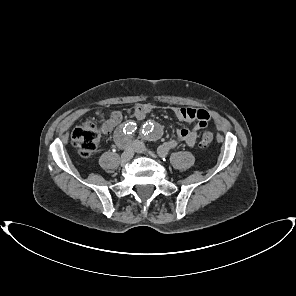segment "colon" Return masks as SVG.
I'll return each mask as SVG.
<instances>
[{
	"label": "colon",
	"mask_w": 296,
	"mask_h": 296,
	"mask_svg": "<svg viewBox=\"0 0 296 296\" xmlns=\"http://www.w3.org/2000/svg\"><path fill=\"white\" fill-rule=\"evenodd\" d=\"M104 131L94 121H87L83 125L76 127L71 134V143L77 149L80 156L86 158L96 150L101 133ZM213 135L206 132L200 139V146L206 147L213 142Z\"/></svg>",
	"instance_id": "5ec220e1"
}]
</instances>
